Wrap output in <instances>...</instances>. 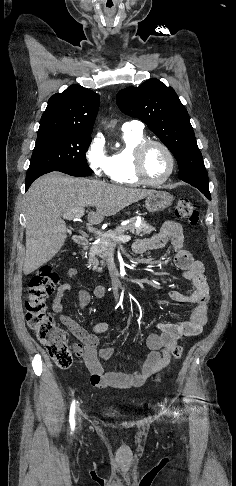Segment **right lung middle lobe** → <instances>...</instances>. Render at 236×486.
<instances>
[{
    "label": "right lung middle lobe",
    "mask_w": 236,
    "mask_h": 486,
    "mask_svg": "<svg viewBox=\"0 0 236 486\" xmlns=\"http://www.w3.org/2000/svg\"><path fill=\"white\" fill-rule=\"evenodd\" d=\"M91 133L39 130L27 174L42 170L91 175L86 151Z\"/></svg>",
    "instance_id": "right-lung-middle-lobe-1"
}]
</instances>
